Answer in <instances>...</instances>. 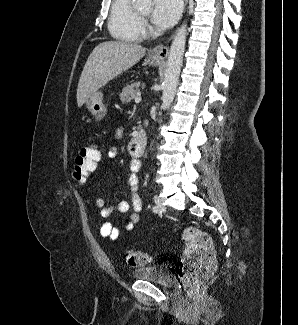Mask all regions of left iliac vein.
I'll return each instance as SVG.
<instances>
[{
	"label": "left iliac vein",
	"mask_w": 298,
	"mask_h": 325,
	"mask_svg": "<svg viewBox=\"0 0 298 325\" xmlns=\"http://www.w3.org/2000/svg\"><path fill=\"white\" fill-rule=\"evenodd\" d=\"M154 201H155V204H156V206L158 208V211L160 213L165 212L166 208H165L164 204L162 203L161 198L158 195L154 196Z\"/></svg>",
	"instance_id": "4c4485c4"
}]
</instances>
